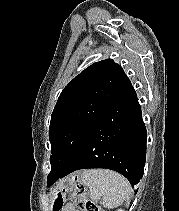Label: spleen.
<instances>
[{
  "mask_svg": "<svg viewBox=\"0 0 179 211\" xmlns=\"http://www.w3.org/2000/svg\"><path fill=\"white\" fill-rule=\"evenodd\" d=\"M81 181L89 188L90 198L108 209L120 206L131 194L128 180L111 170H84Z\"/></svg>",
  "mask_w": 179,
  "mask_h": 211,
  "instance_id": "obj_1",
  "label": "spleen"
}]
</instances>
